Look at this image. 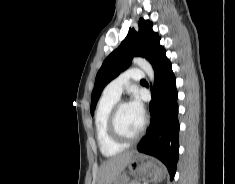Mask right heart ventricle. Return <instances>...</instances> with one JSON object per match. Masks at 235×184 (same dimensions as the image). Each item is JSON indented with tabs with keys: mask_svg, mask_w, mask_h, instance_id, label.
<instances>
[{
	"mask_svg": "<svg viewBox=\"0 0 235 184\" xmlns=\"http://www.w3.org/2000/svg\"><path fill=\"white\" fill-rule=\"evenodd\" d=\"M118 99L103 95L99 100L94 114V132L103 155L107 157L120 153L124 145L117 142L109 133L108 117L111 109L117 103Z\"/></svg>",
	"mask_w": 235,
	"mask_h": 184,
	"instance_id": "1",
	"label": "right heart ventricle"
}]
</instances>
